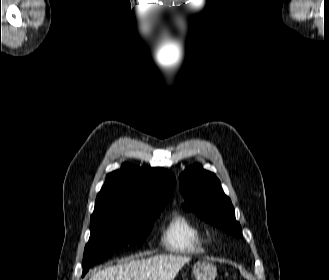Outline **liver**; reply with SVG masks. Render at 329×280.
<instances>
[{"mask_svg":"<svg viewBox=\"0 0 329 280\" xmlns=\"http://www.w3.org/2000/svg\"><path fill=\"white\" fill-rule=\"evenodd\" d=\"M190 257L158 255L146 259H127L95 272L89 280H174Z\"/></svg>","mask_w":329,"mask_h":280,"instance_id":"1","label":"liver"}]
</instances>
